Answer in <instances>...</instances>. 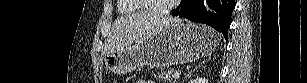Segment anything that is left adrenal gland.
<instances>
[{"label": "left adrenal gland", "instance_id": "obj_1", "mask_svg": "<svg viewBox=\"0 0 307 83\" xmlns=\"http://www.w3.org/2000/svg\"><path fill=\"white\" fill-rule=\"evenodd\" d=\"M203 63H204V62H202L201 64H199L198 66H196L193 70H191V71L189 72V74H187V76L190 75L193 71H195V70H197L198 68H200V67L203 65ZM187 76H186V77H187Z\"/></svg>", "mask_w": 307, "mask_h": 83}]
</instances>
